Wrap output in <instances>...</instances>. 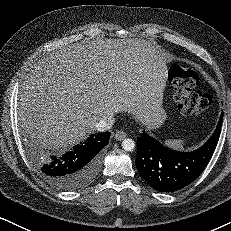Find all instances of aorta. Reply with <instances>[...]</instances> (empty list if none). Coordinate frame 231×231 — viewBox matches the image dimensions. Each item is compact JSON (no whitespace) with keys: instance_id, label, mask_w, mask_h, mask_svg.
<instances>
[{"instance_id":"obj_1","label":"aorta","mask_w":231,"mask_h":231,"mask_svg":"<svg viewBox=\"0 0 231 231\" xmlns=\"http://www.w3.org/2000/svg\"><path fill=\"white\" fill-rule=\"evenodd\" d=\"M122 148L125 151H133L135 148V142L134 140L127 138L122 141Z\"/></svg>"}]
</instances>
